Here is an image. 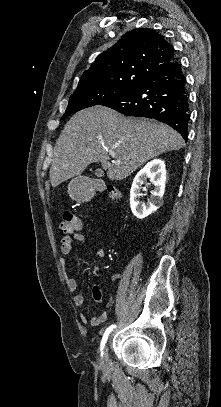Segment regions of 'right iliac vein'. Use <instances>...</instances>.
<instances>
[{
  "instance_id": "obj_1",
  "label": "right iliac vein",
  "mask_w": 221,
  "mask_h": 407,
  "mask_svg": "<svg viewBox=\"0 0 221 407\" xmlns=\"http://www.w3.org/2000/svg\"><path fill=\"white\" fill-rule=\"evenodd\" d=\"M108 361V347L106 346L103 353V363Z\"/></svg>"
}]
</instances>
